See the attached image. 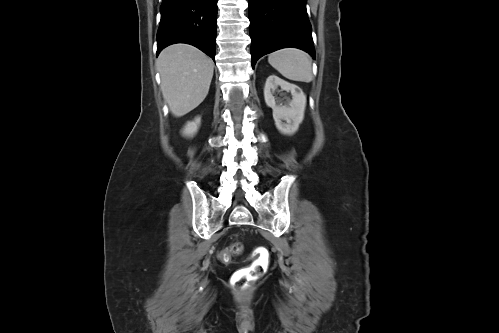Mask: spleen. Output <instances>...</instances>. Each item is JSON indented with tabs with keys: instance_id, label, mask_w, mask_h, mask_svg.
Masks as SVG:
<instances>
[{
	"instance_id": "1",
	"label": "spleen",
	"mask_w": 499,
	"mask_h": 333,
	"mask_svg": "<svg viewBox=\"0 0 499 333\" xmlns=\"http://www.w3.org/2000/svg\"><path fill=\"white\" fill-rule=\"evenodd\" d=\"M269 64L287 79L311 82L313 79L310 56L299 49L286 48L271 53Z\"/></svg>"
}]
</instances>
